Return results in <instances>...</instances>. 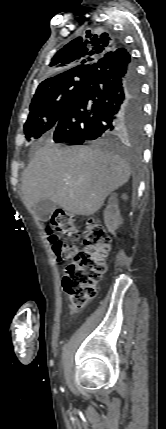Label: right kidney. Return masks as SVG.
I'll list each match as a JSON object with an SVG mask.
<instances>
[{
  "label": "right kidney",
  "instance_id": "right-kidney-1",
  "mask_svg": "<svg viewBox=\"0 0 166 429\" xmlns=\"http://www.w3.org/2000/svg\"><path fill=\"white\" fill-rule=\"evenodd\" d=\"M123 199H127V196L124 194ZM104 222L110 233L115 235V230L120 224L123 223V219L120 216L117 194L112 193L108 200V205L104 211Z\"/></svg>",
  "mask_w": 166,
  "mask_h": 429
}]
</instances>
